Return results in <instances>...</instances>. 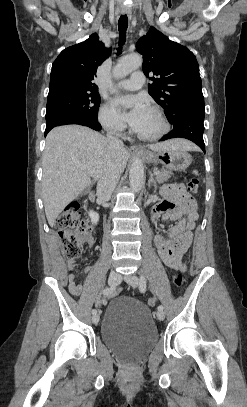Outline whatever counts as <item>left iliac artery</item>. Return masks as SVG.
Here are the masks:
<instances>
[{"mask_svg": "<svg viewBox=\"0 0 247 407\" xmlns=\"http://www.w3.org/2000/svg\"><path fill=\"white\" fill-rule=\"evenodd\" d=\"M140 292L144 293L146 291V278L143 274L140 275V284H139ZM158 311H163V306H158Z\"/></svg>", "mask_w": 247, "mask_h": 407, "instance_id": "obj_1", "label": "left iliac artery"}]
</instances>
